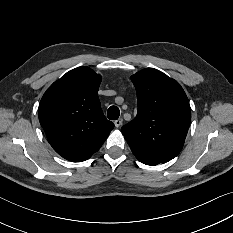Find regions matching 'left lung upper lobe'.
<instances>
[{"mask_svg":"<svg viewBox=\"0 0 233 233\" xmlns=\"http://www.w3.org/2000/svg\"><path fill=\"white\" fill-rule=\"evenodd\" d=\"M131 80L138 112L122 133L129 146L169 161L185 142L191 120L188 98L177 81L153 68L134 74Z\"/></svg>","mask_w":233,"mask_h":233,"instance_id":"obj_1","label":"left lung upper lobe"}]
</instances>
